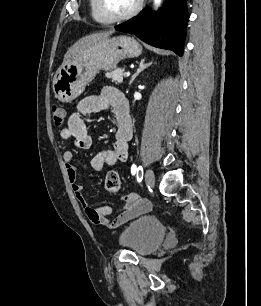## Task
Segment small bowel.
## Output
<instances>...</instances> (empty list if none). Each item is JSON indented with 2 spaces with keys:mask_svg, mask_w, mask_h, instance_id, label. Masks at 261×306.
Returning a JSON list of instances; mask_svg holds the SVG:
<instances>
[{
  "mask_svg": "<svg viewBox=\"0 0 261 306\" xmlns=\"http://www.w3.org/2000/svg\"><path fill=\"white\" fill-rule=\"evenodd\" d=\"M106 109L112 110L117 129L113 148L102 150L91 159V166L97 172H102L105 165L113 166L117 162L127 161L129 157V141L132 138L133 129L128 101L123 93L115 88L106 87L98 94L84 98L79 102L76 111L69 116L67 127L60 131L62 140L73 139L77 148L89 149L92 145V139L82 116ZM63 160L72 190L92 223L107 228H116L150 209L148 200L131 192L124 197L125 206L114 217L110 218L112 214L110 206L92 207L84 198L83 185L77 181L74 152L71 150L65 151Z\"/></svg>",
  "mask_w": 261,
  "mask_h": 306,
  "instance_id": "small-bowel-1",
  "label": "small bowel"
}]
</instances>
